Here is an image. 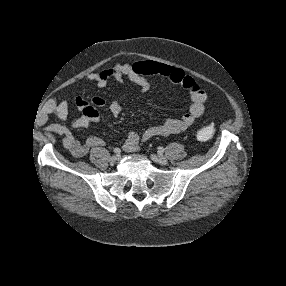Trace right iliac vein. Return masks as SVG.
Masks as SVG:
<instances>
[{"mask_svg": "<svg viewBox=\"0 0 286 286\" xmlns=\"http://www.w3.org/2000/svg\"><path fill=\"white\" fill-rule=\"evenodd\" d=\"M117 158H118L117 156H112V157L110 158V163H111L112 165L115 164Z\"/></svg>", "mask_w": 286, "mask_h": 286, "instance_id": "obj_1", "label": "right iliac vein"}]
</instances>
